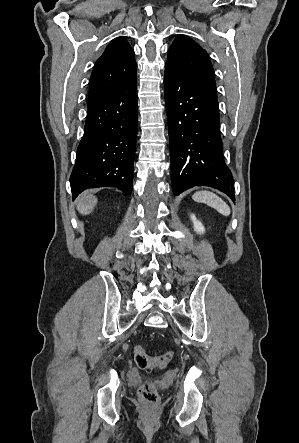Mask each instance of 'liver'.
Returning <instances> with one entry per match:
<instances>
[{"mask_svg":"<svg viewBox=\"0 0 299 443\" xmlns=\"http://www.w3.org/2000/svg\"><path fill=\"white\" fill-rule=\"evenodd\" d=\"M97 204V198L90 191L83 192L76 200V206L82 215L90 214Z\"/></svg>","mask_w":299,"mask_h":443,"instance_id":"obj_1","label":"liver"}]
</instances>
